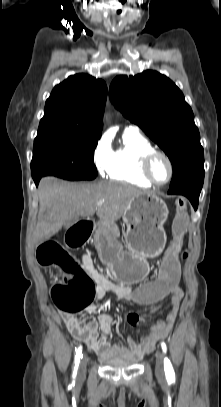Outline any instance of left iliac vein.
Segmentation results:
<instances>
[{
	"label": "left iliac vein",
	"instance_id": "1",
	"mask_svg": "<svg viewBox=\"0 0 221 407\" xmlns=\"http://www.w3.org/2000/svg\"><path fill=\"white\" fill-rule=\"evenodd\" d=\"M156 376L158 378H163L164 377V354L162 351H157L156 352Z\"/></svg>",
	"mask_w": 221,
	"mask_h": 407
}]
</instances>
